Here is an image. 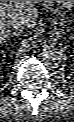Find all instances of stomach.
I'll use <instances>...</instances> for the list:
<instances>
[{
    "label": "stomach",
    "mask_w": 74,
    "mask_h": 122,
    "mask_svg": "<svg viewBox=\"0 0 74 122\" xmlns=\"http://www.w3.org/2000/svg\"><path fill=\"white\" fill-rule=\"evenodd\" d=\"M58 4H61L62 7L70 9L73 6V1H57Z\"/></svg>",
    "instance_id": "obj_1"
}]
</instances>
